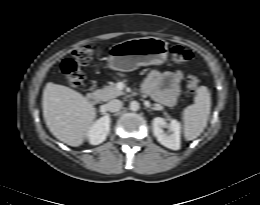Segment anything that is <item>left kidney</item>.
<instances>
[{"instance_id":"left-kidney-1","label":"left kidney","mask_w":260,"mask_h":205,"mask_svg":"<svg viewBox=\"0 0 260 205\" xmlns=\"http://www.w3.org/2000/svg\"><path fill=\"white\" fill-rule=\"evenodd\" d=\"M153 133L158 142L163 146L172 149H180V133L181 125L177 120H171L168 124L164 118L156 117L152 121ZM163 128H168L169 133H166Z\"/></svg>"}]
</instances>
